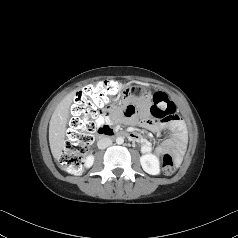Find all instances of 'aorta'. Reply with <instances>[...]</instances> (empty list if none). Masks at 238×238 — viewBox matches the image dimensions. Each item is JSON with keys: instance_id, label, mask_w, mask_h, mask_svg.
Listing matches in <instances>:
<instances>
[{"instance_id": "obj_1", "label": "aorta", "mask_w": 238, "mask_h": 238, "mask_svg": "<svg viewBox=\"0 0 238 238\" xmlns=\"http://www.w3.org/2000/svg\"><path fill=\"white\" fill-rule=\"evenodd\" d=\"M116 143H117L118 145L123 144V143H124V138H123V137H117V138H116Z\"/></svg>"}]
</instances>
